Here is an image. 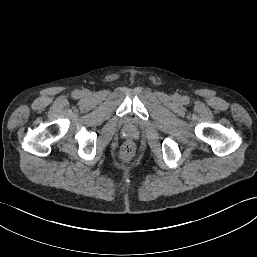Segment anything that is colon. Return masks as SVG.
<instances>
[{
    "instance_id": "5ec220e1",
    "label": "colon",
    "mask_w": 257,
    "mask_h": 257,
    "mask_svg": "<svg viewBox=\"0 0 257 257\" xmlns=\"http://www.w3.org/2000/svg\"><path fill=\"white\" fill-rule=\"evenodd\" d=\"M133 154H134V148L130 143H128L124 145V147L122 148L120 157L121 159L127 161L132 158Z\"/></svg>"
}]
</instances>
